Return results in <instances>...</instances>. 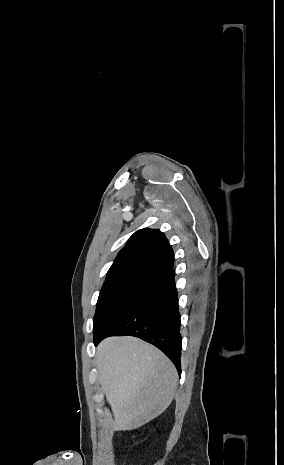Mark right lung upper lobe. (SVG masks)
<instances>
[{
	"label": "right lung upper lobe",
	"instance_id": "1",
	"mask_svg": "<svg viewBox=\"0 0 284 465\" xmlns=\"http://www.w3.org/2000/svg\"><path fill=\"white\" fill-rule=\"evenodd\" d=\"M174 254L165 235L159 230L135 232L118 253L106 279L140 277L157 280L173 269Z\"/></svg>",
	"mask_w": 284,
	"mask_h": 465
}]
</instances>
